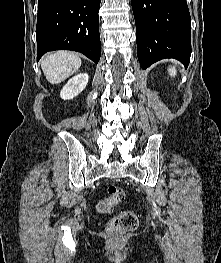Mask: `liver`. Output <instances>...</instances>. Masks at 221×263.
<instances>
[{
  "label": "liver",
  "instance_id": "6515ba94",
  "mask_svg": "<svg viewBox=\"0 0 221 263\" xmlns=\"http://www.w3.org/2000/svg\"><path fill=\"white\" fill-rule=\"evenodd\" d=\"M81 66L80 57L70 51L47 54L41 64L43 73L51 84H58L73 75Z\"/></svg>",
  "mask_w": 221,
  "mask_h": 263
}]
</instances>
